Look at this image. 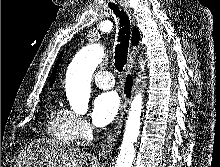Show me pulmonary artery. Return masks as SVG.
<instances>
[{"mask_svg": "<svg viewBox=\"0 0 220 167\" xmlns=\"http://www.w3.org/2000/svg\"><path fill=\"white\" fill-rule=\"evenodd\" d=\"M95 84L101 89H111L115 84L114 77L109 71H99L94 75Z\"/></svg>", "mask_w": 220, "mask_h": 167, "instance_id": "obj_1", "label": "pulmonary artery"}]
</instances>
